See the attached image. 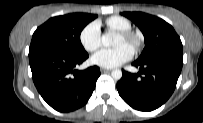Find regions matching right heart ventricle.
<instances>
[{
	"instance_id": "1",
	"label": "right heart ventricle",
	"mask_w": 203,
	"mask_h": 123,
	"mask_svg": "<svg viewBox=\"0 0 203 123\" xmlns=\"http://www.w3.org/2000/svg\"><path fill=\"white\" fill-rule=\"evenodd\" d=\"M106 25L116 31H127L131 30V22L122 16H112L106 20Z\"/></svg>"
}]
</instances>
